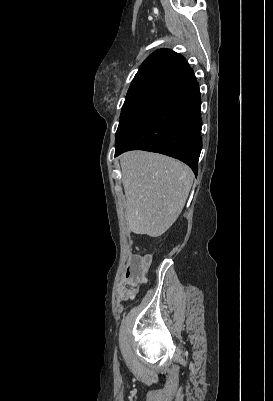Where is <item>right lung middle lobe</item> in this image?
<instances>
[{"label":"right lung middle lobe","mask_w":273,"mask_h":401,"mask_svg":"<svg viewBox=\"0 0 273 401\" xmlns=\"http://www.w3.org/2000/svg\"><path fill=\"white\" fill-rule=\"evenodd\" d=\"M167 98L168 96L158 94H139L126 97L116 132L115 150L118 149L130 137L133 131L164 103Z\"/></svg>","instance_id":"right-lung-middle-lobe-1"}]
</instances>
